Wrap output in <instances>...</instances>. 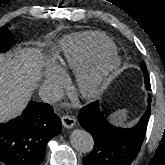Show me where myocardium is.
<instances>
[{
	"label": "myocardium",
	"instance_id": "obj_1",
	"mask_svg": "<svg viewBox=\"0 0 165 165\" xmlns=\"http://www.w3.org/2000/svg\"><path fill=\"white\" fill-rule=\"evenodd\" d=\"M121 59L116 52L104 53L77 74L76 91L86 100L97 98L110 77L118 70Z\"/></svg>",
	"mask_w": 165,
	"mask_h": 165
}]
</instances>
